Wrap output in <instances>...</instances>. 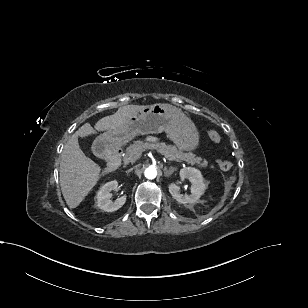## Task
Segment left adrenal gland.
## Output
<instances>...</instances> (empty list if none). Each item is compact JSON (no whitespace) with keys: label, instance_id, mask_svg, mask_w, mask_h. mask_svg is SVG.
I'll return each instance as SVG.
<instances>
[{"label":"left adrenal gland","instance_id":"left-adrenal-gland-1","mask_svg":"<svg viewBox=\"0 0 308 308\" xmlns=\"http://www.w3.org/2000/svg\"><path fill=\"white\" fill-rule=\"evenodd\" d=\"M176 169L171 167L169 169H167L166 167H164V175L165 176H170Z\"/></svg>","mask_w":308,"mask_h":308}]
</instances>
